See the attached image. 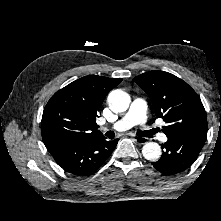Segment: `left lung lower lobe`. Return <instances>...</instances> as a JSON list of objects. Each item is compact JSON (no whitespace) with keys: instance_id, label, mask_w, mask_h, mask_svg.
<instances>
[{"instance_id":"obj_1","label":"left lung lower lobe","mask_w":221,"mask_h":221,"mask_svg":"<svg viewBox=\"0 0 221 221\" xmlns=\"http://www.w3.org/2000/svg\"><path fill=\"white\" fill-rule=\"evenodd\" d=\"M207 134H192L185 137L168 138L162 148L161 159L153 162L154 168L164 175H175L187 170L197 159Z\"/></svg>"}]
</instances>
